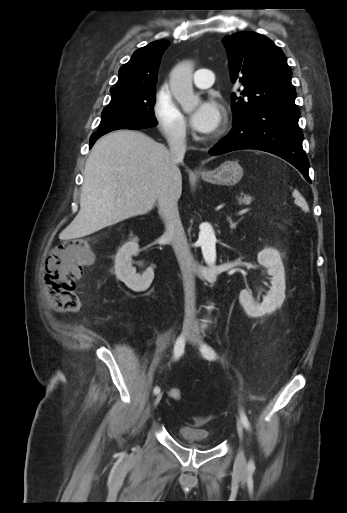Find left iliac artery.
<instances>
[{
    "mask_svg": "<svg viewBox=\"0 0 347 513\" xmlns=\"http://www.w3.org/2000/svg\"><path fill=\"white\" fill-rule=\"evenodd\" d=\"M201 352H202V355L204 356V358L208 359V360H215L217 358V354L216 352L214 351V349L207 345V344H202L201 345ZM240 418H241V421H242V424L243 426L249 430L250 429V423L248 421V418L245 414V412L243 410H240ZM248 468L250 470H254L255 468V464H254V461L251 459L248 463Z\"/></svg>",
    "mask_w": 347,
    "mask_h": 513,
    "instance_id": "obj_1",
    "label": "left iliac artery"
}]
</instances>
